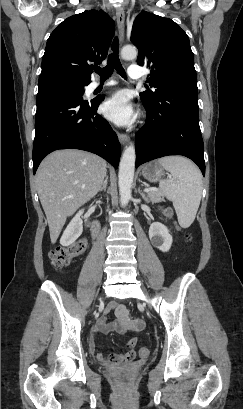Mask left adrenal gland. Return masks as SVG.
I'll use <instances>...</instances> for the list:
<instances>
[{
	"mask_svg": "<svg viewBox=\"0 0 243 409\" xmlns=\"http://www.w3.org/2000/svg\"><path fill=\"white\" fill-rule=\"evenodd\" d=\"M138 192H139L140 196H141L145 201H147V197H146L145 194L142 192L141 188L138 189Z\"/></svg>",
	"mask_w": 243,
	"mask_h": 409,
	"instance_id": "left-adrenal-gland-1",
	"label": "left adrenal gland"
}]
</instances>
